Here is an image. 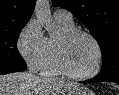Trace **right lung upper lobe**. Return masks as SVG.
<instances>
[{
    "label": "right lung upper lobe",
    "mask_w": 119,
    "mask_h": 95,
    "mask_svg": "<svg viewBox=\"0 0 119 95\" xmlns=\"http://www.w3.org/2000/svg\"><path fill=\"white\" fill-rule=\"evenodd\" d=\"M36 0H0V27L28 22Z\"/></svg>",
    "instance_id": "cb5924a9"
}]
</instances>
